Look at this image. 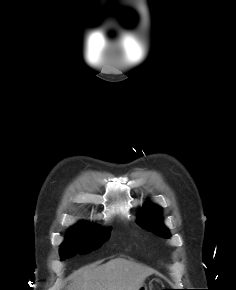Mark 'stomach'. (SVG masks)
<instances>
[{
	"mask_svg": "<svg viewBox=\"0 0 236 290\" xmlns=\"http://www.w3.org/2000/svg\"><path fill=\"white\" fill-rule=\"evenodd\" d=\"M138 290H147V286L143 284Z\"/></svg>",
	"mask_w": 236,
	"mask_h": 290,
	"instance_id": "0dacf381",
	"label": "stomach"
}]
</instances>
